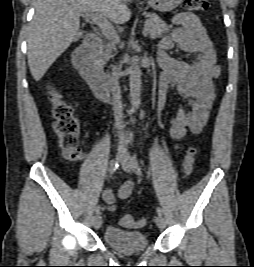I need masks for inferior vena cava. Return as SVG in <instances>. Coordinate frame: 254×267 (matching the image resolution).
I'll use <instances>...</instances> for the list:
<instances>
[{"mask_svg":"<svg viewBox=\"0 0 254 267\" xmlns=\"http://www.w3.org/2000/svg\"><path fill=\"white\" fill-rule=\"evenodd\" d=\"M111 92H112V105L115 113L121 117V110H122V104L120 101V92H119V85H118V78L117 73L115 71V68L112 71V78H111Z\"/></svg>","mask_w":254,"mask_h":267,"instance_id":"obj_1","label":"inferior vena cava"}]
</instances>
